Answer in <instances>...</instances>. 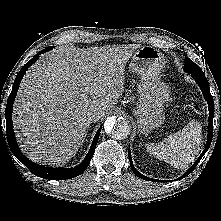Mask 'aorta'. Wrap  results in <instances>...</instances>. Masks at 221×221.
<instances>
[{"instance_id": "aorta-1", "label": "aorta", "mask_w": 221, "mask_h": 221, "mask_svg": "<svg viewBox=\"0 0 221 221\" xmlns=\"http://www.w3.org/2000/svg\"><path fill=\"white\" fill-rule=\"evenodd\" d=\"M104 129L112 138L122 140L130 133V123L124 116H111L105 121Z\"/></svg>"}]
</instances>
